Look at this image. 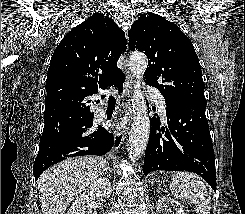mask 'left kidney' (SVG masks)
Returning a JSON list of instances; mask_svg holds the SVG:
<instances>
[{"label":"left kidney","mask_w":245,"mask_h":214,"mask_svg":"<svg viewBox=\"0 0 245 214\" xmlns=\"http://www.w3.org/2000/svg\"><path fill=\"white\" fill-rule=\"evenodd\" d=\"M171 208H167V205ZM173 210V213H172ZM175 212V213H174ZM186 214L183 208V205L178 201L172 199L170 196H162L158 200L156 214Z\"/></svg>","instance_id":"obj_1"}]
</instances>
